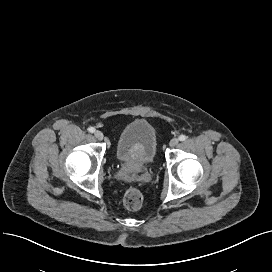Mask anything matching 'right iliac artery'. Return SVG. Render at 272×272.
I'll use <instances>...</instances> for the list:
<instances>
[{
	"mask_svg": "<svg viewBox=\"0 0 272 272\" xmlns=\"http://www.w3.org/2000/svg\"><path fill=\"white\" fill-rule=\"evenodd\" d=\"M88 131L91 132V133H94L95 132V128L94 127H89Z\"/></svg>",
	"mask_w": 272,
	"mask_h": 272,
	"instance_id": "obj_1",
	"label": "right iliac artery"
}]
</instances>
